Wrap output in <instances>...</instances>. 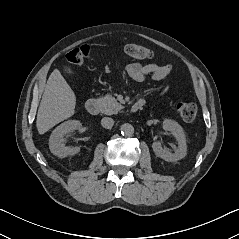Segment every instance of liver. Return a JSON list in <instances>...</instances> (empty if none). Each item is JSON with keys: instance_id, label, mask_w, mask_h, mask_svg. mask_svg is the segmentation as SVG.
<instances>
[{"instance_id": "6515ba94", "label": "liver", "mask_w": 239, "mask_h": 239, "mask_svg": "<svg viewBox=\"0 0 239 239\" xmlns=\"http://www.w3.org/2000/svg\"><path fill=\"white\" fill-rule=\"evenodd\" d=\"M76 97L60 71L49 76L37 113L36 127L39 134L46 133L61 121L74 114Z\"/></svg>"}]
</instances>
